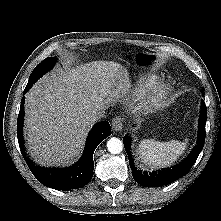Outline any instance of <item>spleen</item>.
Segmentation results:
<instances>
[{"label": "spleen", "instance_id": "obj_1", "mask_svg": "<svg viewBox=\"0 0 221 221\" xmlns=\"http://www.w3.org/2000/svg\"><path fill=\"white\" fill-rule=\"evenodd\" d=\"M187 147V142L171 140L160 142L145 139L140 142L137 149L139 159L153 168H163L172 165Z\"/></svg>", "mask_w": 221, "mask_h": 221}]
</instances>
